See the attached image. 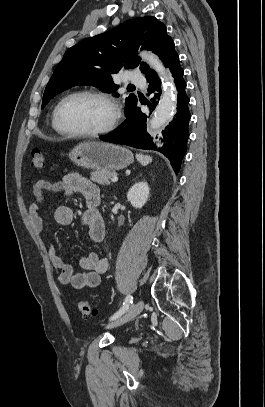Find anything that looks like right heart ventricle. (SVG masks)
Returning <instances> with one entry per match:
<instances>
[{
  "label": "right heart ventricle",
  "instance_id": "obj_1",
  "mask_svg": "<svg viewBox=\"0 0 265 407\" xmlns=\"http://www.w3.org/2000/svg\"><path fill=\"white\" fill-rule=\"evenodd\" d=\"M51 127H52L53 130L57 131L56 128H55V125H54L53 117H52V121H51Z\"/></svg>",
  "mask_w": 265,
  "mask_h": 407
}]
</instances>
